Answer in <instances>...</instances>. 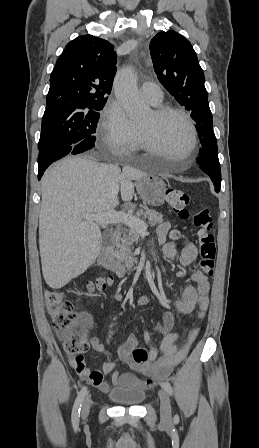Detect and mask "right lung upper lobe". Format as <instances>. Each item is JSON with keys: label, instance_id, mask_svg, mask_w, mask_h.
<instances>
[{"label": "right lung upper lobe", "instance_id": "right-lung-upper-lobe-1", "mask_svg": "<svg viewBox=\"0 0 259 448\" xmlns=\"http://www.w3.org/2000/svg\"><path fill=\"white\" fill-rule=\"evenodd\" d=\"M111 43L82 35L69 42L50 76L45 114H67L105 105L116 73Z\"/></svg>", "mask_w": 259, "mask_h": 448}]
</instances>
